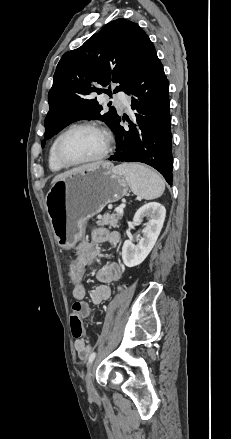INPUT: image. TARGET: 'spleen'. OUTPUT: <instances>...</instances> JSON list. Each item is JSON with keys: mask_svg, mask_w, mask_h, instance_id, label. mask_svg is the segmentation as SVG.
Segmentation results:
<instances>
[{"mask_svg": "<svg viewBox=\"0 0 231 439\" xmlns=\"http://www.w3.org/2000/svg\"><path fill=\"white\" fill-rule=\"evenodd\" d=\"M114 170L122 174L132 192L143 199H156L165 190L162 177L144 165L137 163L121 164L114 167Z\"/></svg>", "mask_w": 231, "mask_h": 439, "instance_id": "spleen-1", "label": "spleen"}]
</instances>
